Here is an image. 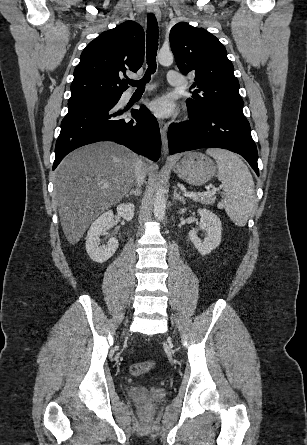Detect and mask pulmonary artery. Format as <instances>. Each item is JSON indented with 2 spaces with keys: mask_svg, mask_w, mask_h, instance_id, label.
Wrapping results in <instances>:
<instances>
[{
  "mask_svg": "<svg viewBox=\"0 0 307 445\" xmlns=\"http://www.w3.org/2000/svg\"><path fill=\"white\" fill-rule=\"evenodd\" d=\"M166 82H167V84H174L175 90H188V88H189L187 76L180 75L179 69H168L166 72ZM141 87L145 88L146 84L142 83ZM152 87L156 88L157 84L153 83Z\"/></svg>",
  "mask_w": 307,
  "mask_h": 445,
  "instance_id": "pulmonary-artery-1",
  "label": "pulmonary artery"
}]
</instances>
